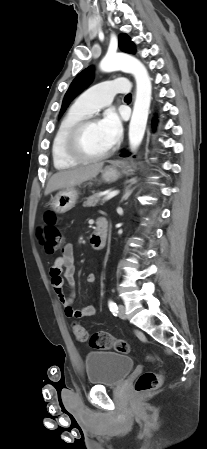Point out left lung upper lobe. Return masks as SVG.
Listing matches in <instances>:
<instances>
[{
    "label": "left lung upper lobe",
    "instance_id": "5c2ea615",
    "mask_svg": "<svg viewBox=\"0 0 207 449\" xmlns=\"http://www.w3.org/2000/svg\"><path fill=\"white\" fill-rule=\"evenodd\" d=\"M119 47L123 52L131 54L135 53L134 43L125 34L119 35ZM92 79H93L92 66L84 69L75 77V79L71 83L69 89L67 90L64 96L59 116H61L64 113L69 103L92 82Z\"/></svg>",
    "mask_w": 207,
    "mask_h": 449
}]
</instances>
